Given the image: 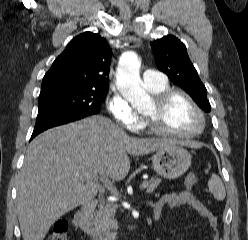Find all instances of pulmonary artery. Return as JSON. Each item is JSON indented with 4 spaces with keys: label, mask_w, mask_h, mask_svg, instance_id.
<instances>
[{
    "label": "pulmonary artery",
    "mask_w": 248,
    "mask_h": 240,
    "mask_svg": "<svg viewBox=\"0 0 248 240\" xmlns=\"http://www.w3.org/2000/svg\"><path fill=\"white\" fill-rule=\"evenodd\" d=\"M142 80L146 86H158L167 82L162 72L152 69H145L142 72Z\"/></svg>",
    "instance_id": "obj_1"
}]
</instances>
